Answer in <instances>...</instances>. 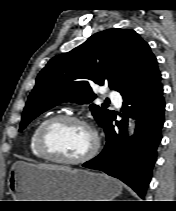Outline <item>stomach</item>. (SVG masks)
Wrapping results in <instances>:
<instances>
[{
  "label": "stomach",
  "mask_w": 176,
  "mask_h": 211,
  "mask_svg": "<svg viewBox=\"0 0 176 211\" xmlns=\"http://www.w3.org/2000/svg\"><path fill=\"white\" fill-rule=\"evenodd\" d=\"M8 189L15 201H112L122 185L103 173L19 161L9 173Z\"/></svg>",
  "instance_id": "0dacf381"
}]
</instances>
